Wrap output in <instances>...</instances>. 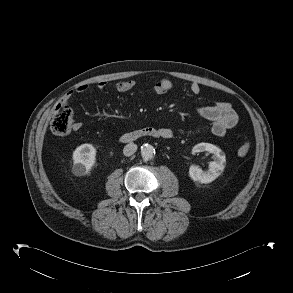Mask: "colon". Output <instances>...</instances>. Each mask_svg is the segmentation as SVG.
<instances>
[{
  "label": "colon",
  "instance_id": "colon-1",
  "mask_svg": "<svg viewBox=\"0 0 293 293\" xmlns=\"http://www.w3.org/2000/svg\"><path fill=\"white\" fill-rule=\"evenodd\" d=\"M73 113L66 104H58L51 116L49 129L55 135H66L71 130ZM250 151V142H244L238 149L239 156H246Z\"/></svg>",
  "mask_w": 293,
  "mask_h": 293
}]
</instances>
